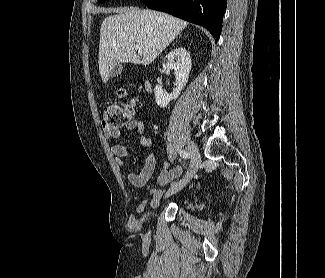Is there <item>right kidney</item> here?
I'll return each instance as SVG.
<instances>
[{
	"instance_id": "1",
	"label": "right kidney",
	"mask_w": 325,
	"mask_h": 278,
	"mask_svg": "<svg viewBox=\"0 0 325 278\" xmlns=\"http://www.w3.org/2000/svg\"><path fill=\"white\" fill-rule=\"evenodd\" d=\"M191 65L190 54L183 47H176L165 56L163 67L174 70L176 88L171 94H168L160 85L155 86V101L160 108L167 107L170 101L178 98L182 89L188 82Z\"/></svg>"
}]
</instances>
